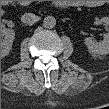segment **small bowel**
Masks as SVG:
<instances>
[{
  "label": "small bowel",
  "instance_id": "1",
  "mask_svg": "<svg viewBox=\"0 0 109 109\" xmlns=\"http://www.w3.org/2000/svg\"><path fill=\"white\" fill-rule=\"evenodd\" d=\"M90 5H96V4H93V3L91 4V3H90Z\"/></svg>",
  "mask_w": 109,
  "mask_h": 109
}]
</instances>
